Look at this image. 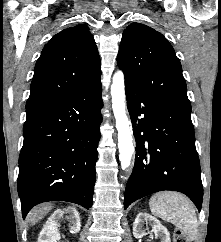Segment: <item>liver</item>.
Listing matches in <instances>:
<instances>
[{"instance_id": "6515ba94", "label": "liver", "mask_w": 221, "mask_h": 242, "mask_svg": "<svg viewBox=\"0 0 221 242\" xmlns=\"http://www.w3.org/2000/svg\"><path fill=\"white\" fill-rule=\"evenodd\" d=\"M52 205L46 204L34 208L28 215V221L31 225H34L41 220L49 211H51Z\"/></svg>"}]
</instances>
